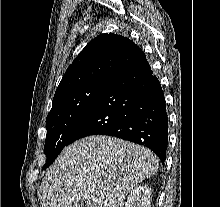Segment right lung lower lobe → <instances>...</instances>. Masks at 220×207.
<instances>
[{"instance_id": "right-lung-lower-lobe-1", "label": "right lung lower lobe", "mask_w": 220, "mask_h": 207, "mask_svg": "<svg viewBox=\"0 0 220 207\" xmlns=\"http://www.w3.org/2000/svg\"><path fill=\"white\" fill-rule=\"evenodd\" d=\"M89 135H109L151 149L166 159L168 118L163 90L146 57L111 76L69 144Z\"/></svg>"}]
</instances>
